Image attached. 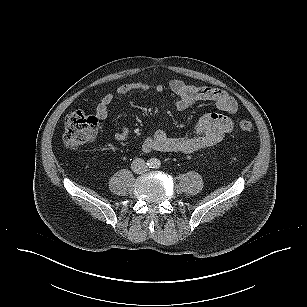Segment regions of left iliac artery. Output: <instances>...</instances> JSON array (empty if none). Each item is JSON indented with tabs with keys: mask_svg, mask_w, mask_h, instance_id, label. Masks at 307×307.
Returning a JSON list of instances; mask_svg holds the SVG:
<instances>
[{
	"mask_svg": "<svg viewBox=\"0 0 307 307\" xmlns=\"http://www.w3.org/2000/svg\"><path fill=\"white\" fill-rule=\"evenodd\" d=\"M161 165L160 161L159 160H156L155 161V168H159Z\"/></svg>",
	"mask_w": 307,
	"mask_h": 307,
	"instance_id": "left-iliac-artery-1",
	"label": "left iliac artery"
}]
</instances>
